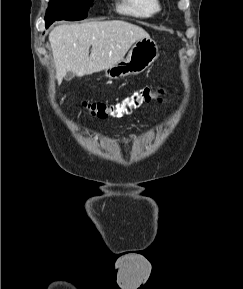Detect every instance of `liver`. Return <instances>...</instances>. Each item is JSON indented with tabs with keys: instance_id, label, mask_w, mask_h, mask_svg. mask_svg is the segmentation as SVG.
<instances>
[{
	"instance_id": "1",
	"label": "liver",
	"mask_w": 243,
	"mask_h": 289,
	"mask_svg": "<svg viewBox=\"0 0 243 289\" xmlns=\"http://www.w3.org/2000/svg\"><path fill=\"white\" fill-rule=\"evenodd\" d=\"M145 37L149 34L143 28L122 20L56 26L49 41L58 84L67 72L82 77L115 65L136 41Z\"/></svg>"
}]
</instances>
